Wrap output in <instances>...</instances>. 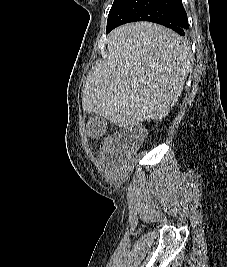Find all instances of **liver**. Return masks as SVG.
<instances>
[{"mask_svg": "<svg viewBox=\"0 0 227 267\" xmlns=\"http://www.w3.org/2000/svg\"><path fill=\"white\" fill-rule=\"evenodd\" d=\"M107 48V58L87 78L83 108L121 128L167 116L190 70L186 39L161 25L136 22L113 30Z\"/></svg>", "mask_w": 227, "mask_h": 267, "instance_id": "obj_1", "label": "liver"}]
</instances>
